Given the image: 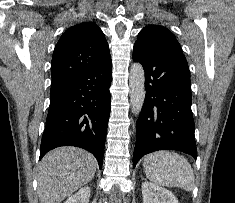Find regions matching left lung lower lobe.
<instances>
[{
	"label": "left lung lower lobe",
	"instance_id": "1",
	"mask_svg": "<svg viewBox=\"0 0 235 203\" xmlns=\"http://www.w3.org/2000/svg\"><path fill=\"white\" fill-rule=\"evenodd\" d=\"M143 65L146 98L137 121L133 167L157 150H178L197 158L188 64L163 52L134 45Z\"/></svg>",
	"mask_w": 235,
	"mask_h": 203
}]
</instances>
